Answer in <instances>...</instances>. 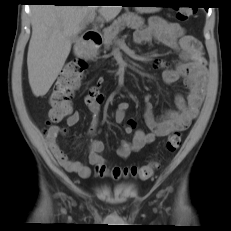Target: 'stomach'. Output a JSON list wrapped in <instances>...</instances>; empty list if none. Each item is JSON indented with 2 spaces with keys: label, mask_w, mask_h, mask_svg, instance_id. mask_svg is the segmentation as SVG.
I'll use <instances>...</instances> for the list:
<instances>
[{
  "label": "stomach",
  "mask_w": 231,
  "mask_h": 231,
  "mask_svg": "<svg viewBox=\"0 0 231 231\" xmlns=\"http://www.w3.org/2000/svg\"><path fill=\"white\" fill-rule=\"evenodd\" d=\"M140 4H158L159 1L156 0H139L137 1ZM160 9V7H136V11L139 13H153Z\"/></svg>",
  "instance_id": "0dacf381"
}]
</instances>
